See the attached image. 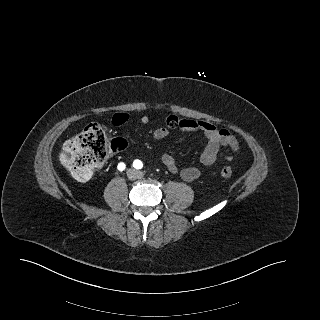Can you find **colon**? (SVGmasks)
Here are the masks:
<instances>
[{
    "label": "colon",
    "mask_w": 320,
    "mask_h": 320,
    "mask_svg": "<svg viewBox=\"0 0 320 320\" xmlns=\"http://www.w3.org/2000/svg\"><path fill=\"white\" fill-rule=\"evenodd\" d=\"M126 144L124 139H113L107 126L91 123L64 144L60 161L75 179L85 181L104 162L110 150L123 149ZM220 175L228 179L232 177L233 171L229 167H223Z\"/></svg>",
    "instance_id": "1"
}]
</instances>
